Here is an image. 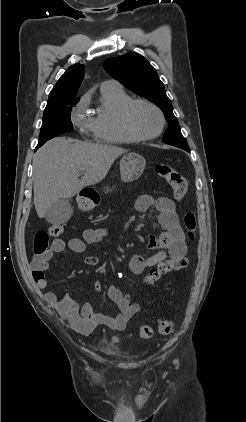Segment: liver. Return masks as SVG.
<instances>
[{
  "instance_id": "liver-1",
  "label": "liver",
  "mask_w": 246,
  "mask_h": 422,
  "mask_svg": "<svg viewBox=\"0 0 246 422\" xmlns=\"http://www.w3.org/2000/svg\"><path fill=\"white\" fill-rule=\"evenodd\" d=\"M125 149L74 141L65 137L45 143L35 154L34 205L39 218L60 198H71L83 187L101 182ZM80 170L84 171L78 179Z\"/></svg>"
}]
</instances>
